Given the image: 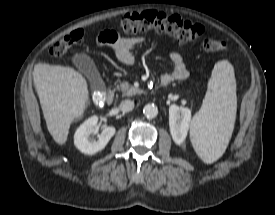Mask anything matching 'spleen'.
<instances>
[{
	"label": "spleen",
	"instance_id": "3e777b00",
	"mask_svg": "<svg viewBox=\"0 0 275 215\" xmlns=\"http://www.w3.org/2000/svg\"><path fill=\"white\" fill-rule=\"evenodd\" d=\"M236 110L234 68L229 61L221 60L214 65L201 110L194 115L190 127L192 145L204 163H213L225 152Z\"/></svg>",
	"mask_w": 275,
	"mask_h": 215
}]
</instances>
